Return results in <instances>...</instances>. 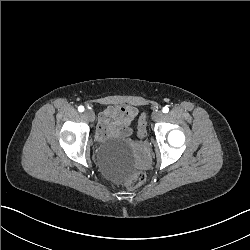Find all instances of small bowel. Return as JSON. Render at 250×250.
Here are the masks:
<instances>
[{
  "label": "small bowel",
  "mask_w": 250,
  "mask_h": 250,
  "mask_svg": "<svg viewBox=\"0 0 250 250\" xmlns=\"http://www.w3.org/2000/svg\"><path fill=\"white\" fill-rule=\"evenodd\" d=\"M136 115V108L133 106H112L104 112L97 127L96 136L101 138L110 133L123 137H130L133 133L132 122ZM112 118V121H109Z\"/></svg>",
  "instance_id": "small-bowel-1"
}]
</instances>
